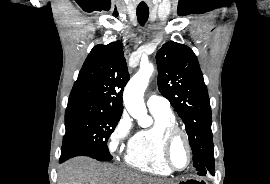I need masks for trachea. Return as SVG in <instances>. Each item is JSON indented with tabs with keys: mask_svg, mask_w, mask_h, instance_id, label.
Wrapping results in <instances>:
<instances>
[{
	"mask_svg": "<svg viewBox=\"0 0 270 184\" xmlns=\"http://www.w3.org/2000/svg\"><path fill=\"white\" fill-rule=\"evenodd\" d=\"M137 18H138V22L141 25H144L149 17V10L148 9H137Z\"/></svg>",
	"mask_w": 270,
	"mask_h": 184,
	"instance_id": "obj_1",
	"label": "trachea"
}]
</instances>
